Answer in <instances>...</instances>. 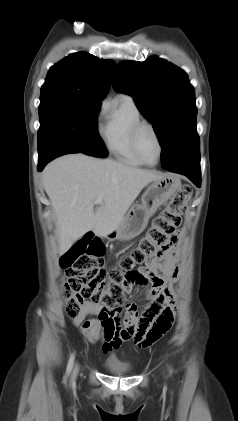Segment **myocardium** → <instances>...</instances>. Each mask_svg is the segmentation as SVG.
<instances>
[{
	"mask_svg": "<svg viewBox=\"0 0 238 421\" xmlns=\"http://www.w3.org/2000/svg\"><path fill=\"white\" fill-rule=\"evenodd\" d=\"M144 128H148V129L151 130V132L153 133V135L156 139L157 145H158V156H157V159L154 163H149L148 161H146V159L144 158V156L142 155L141 150H140L139 138H140V134H141V132ZM132 146H133V149H134L137 157L144 163V165L154 166L159 162V160L162 156L163 145H162V142H161L160 135H159L157 129L155 128V126L150 121L141 120L134 126L133 131H132Z\"/></svg>",
	"mask_w": 238,
	"mask_h": 421,
	"instance_id": "1",
	"label": "myocardium"
}]
</instances>
